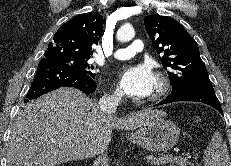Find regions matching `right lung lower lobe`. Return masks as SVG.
Masks as SVG:
<instances>
[{"instance_id":"right-lung-lower-lobe-1","label":"right lung lower lobe","mask_w":231,"mask_h":166,"mask_svg":"<svg viewBox=\"0 0 231 166\" xmlns=\"http://www.w3.org/2000/svg\"><path fill=\"white\" fill-rule=\"evenodd\" d=\"M60 87H74L84 93H93L97 85L94 77L84 74L70 65L51 59L40 60L36 75L26 95L25 103Z\"/></svg>"}]
</instances>
